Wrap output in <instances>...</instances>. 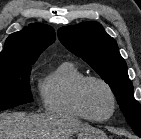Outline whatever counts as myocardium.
I'll return each instance as SVG.
<instances>
[{
    "instance_id": "f54148a6",
    "label": "myocardium",
    "mask_w": 141,
    "mask_h": 139,
    "mask_svg": "<svg viewBox=\"0 0 141 139\" xmlns=\"http://www.w3.org/2000/svg\"><path fill=\"white\" fill-rule=\"evenodd\" d=\"M90 82H98L102 84L110 94L112 108H111V112L106 117H103V118L94 117L93 115L90 114V112L88 111L86 107L85 100H84V91L87 84H89ZM74 96H75L76 104L78 108L80 109V111L83 113L86 119L91 120L93 122L108 121L110 118H112L117 108V98L112 86L105 79L99 76H85L84 78H82L75 87Z\"/></svg>"
}]
</instances>
